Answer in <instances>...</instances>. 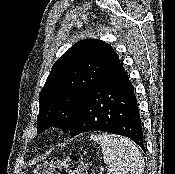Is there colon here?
Returning <instances> with one entry per match:
<instances>
[{
	"mask_svg": "<svg viewBox=\"0 0 175 174\" xmlns=\"http://www.w3.org/2000/svg\"><path fill=\"white\" fill-rule=\"evenodd\" d=\"M62 171L68 174H95L92 166L76 155L44 161L36 166L33 174H59Z\"/></svg>",
	"mask_w": 175,
	"mask_h": 174,
	"instance_id": "1",
	"label": "colon"
}]
</instances>
